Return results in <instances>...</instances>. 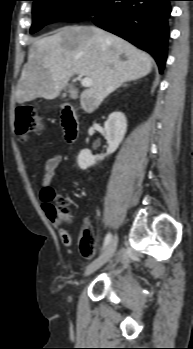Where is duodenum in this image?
<instances>
[{"label": "duodenum", "mask_w": 193, "mask_h": 349, "mask_svg": "<svg viewBox=\"0 0 193 349\" xmlns=\"http://www.w3.org/2000/svg\"><path fill=\"white\" fill-rule=\"evenodd\" d=\"M62 126L66 142L76 141L79 135V121L76 110L68 104H64L62 107Z\"/></svg>", "instance_id": "obj_1"}]
</instances>
